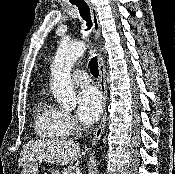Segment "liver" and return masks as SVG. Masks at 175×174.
Returning <instances> with one entry per match:
<instances>
[{"mask_svg": "<svg viewBox=\"0 0 175 174\" xmlns=\"http://www.w3.org/2000/svg\"><path fill=\"white\" fill-rule=\"evenodd\" d=\"M80 154V147L74 141L40 140L29 141L20 153L19 166L44 161L57 165H67L75 162Z\"/></svg>", "mask_w": 175, "mask_h": 174, "instance_id": "obj_1", "label": "liver"}]
</instances>
